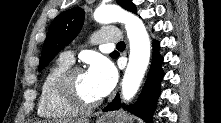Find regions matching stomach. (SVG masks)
I'll return each mask as SVG.
<instances>
[{"instance_id": "stomach-1", "label": "stomach", "mask_w": 221, "mask_h": 123, "mask_svg": "<svg viewBox=\"0 0 221 123\" xmlns=\"http://www.w3.org/2000/svg\"><path fill=\"white\" fill-rule=\"evenodd\" d=\"M96 123H132V118L126 112L119 111L102 115Z\"/></svg>"}]
</instances>
